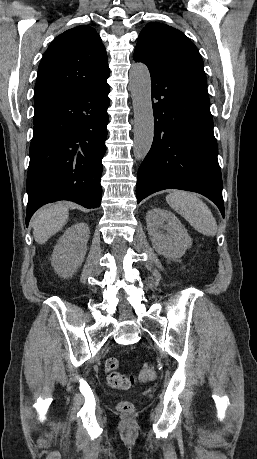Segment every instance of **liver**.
I'll return each mask as SVG.
<instances>
[{"instance_id": "liver-1", "label": "liver", "mask_w": 257, "mask_h": 459, "mask_svg": "<svg viewBox=\"0 0 257 459\" xmlns=\"http://www.w3.org/2000/svg\"><path fill=\"white\" fill-rule=\"evenodd\" d=\"M69 209L63 203H57L39 210L32 221L33 235L38 244H44L59 232L66 224Z\"/></svg>"}]
</instances>
